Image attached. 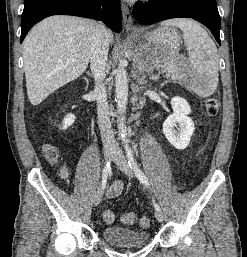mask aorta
Returning a JSON list of instances; mask_svg holds the SVG:
<instances>
[{"label": "aorta", "mask_w": 247, "mask_h": 257, "mask_svg": "<svg viewBox=\"0 0 247 257\" xmlns=\"http://www.w3.org/2000/svg\"><path fill=\"white\" fill-rule=\"evenodd\" d=\"M125 61L121 60L116 70L115 76V93L117 110L120 114L118 129L119 136L122 138L126 137L127 131L125 126V111L128 100V75L124 67Z\"/></svg>", "instance_id": "aorta-1"}]
</instances>
